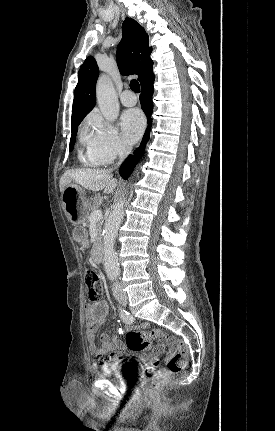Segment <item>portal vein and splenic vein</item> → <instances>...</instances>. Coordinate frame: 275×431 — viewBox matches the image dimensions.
Here are the masks:
<instances>
[{
    "label": "portal vein and splenic vein",
    "mask_w": 275,
    "mask_h": 431,
    "mask_svg": "<svg viewBox=\"0 0 275 431\" xmlns=\"http://www.w3.org/2000/svg\"><path fill=\"white\" fill-rule=\"evenodd\" d=\"M102 218V211L97 209L90 214V221H99Z\"/></svg>",
    "instance_id": "18ae733b"
}]
</instances>
